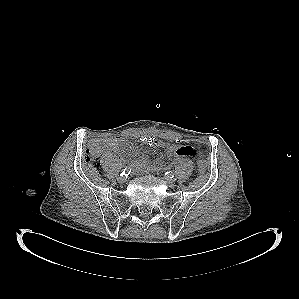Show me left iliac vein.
Masks as SVG:
<instances>
[{
    "label": "left iliac vein",
    "instance_id": "left-iliac-vein-1",
    "mask_svg": "<svg viewBox=\"0 0 299 299\" xmlns=\"http://www.w3.org/2000/svg\"><path fill=\"white\" fill-rule=\"evenodd\" d=\"M164 182L169 186L173 187L175 185V181L173 179H164Z\"/></svg>",
    "mask_w": 299,
    "mask_h": 299
}]
</instances>
